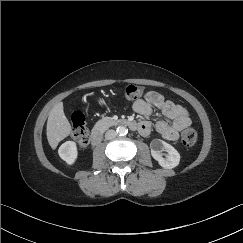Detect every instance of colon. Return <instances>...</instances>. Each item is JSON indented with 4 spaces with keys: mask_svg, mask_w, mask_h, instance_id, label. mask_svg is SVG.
<instances>
[{
    "mask_svg": "<svg viewBox=\"0 0 243 243\" xmlns=\"http://www.w3.org/2000/svg\"><path fill=\"white\" fill-rule=\"evenodd\" d=\"M125 95L130 100H138L142 95V88L137 85H129L125 89ZM72 133L79 146L84 148L88 144V132L83 112L76 111L71 117ZM197 140V133L192 128L185 129L181 134V142L184 146H192Z\"/></svg>",
    "mask_w": 243,
    "mask_h": 243,
    "instance_id": "obj_1",
    "label": "colon"
}]
</instances>
